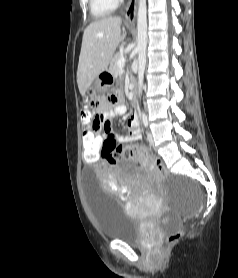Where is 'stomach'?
<instances>
[{
    "instance_id": "obj_1",
    "label": "stomach",
    "mask_w": 238,
    "mask_h": 278,
    "mask_svg": "<svg viewBox=\"0 0 238 278\" xmlns=\"http://www.w3.org/2000/svg\"><path fill=\"white\" fill-rule=\"evenodd\" d=\"M101 74L94 75V82L87 89V97L91 99H104V95H106V90L109 89V86H113L114 74H110V69H101Z\"/></svg>"
}]
</instances>
